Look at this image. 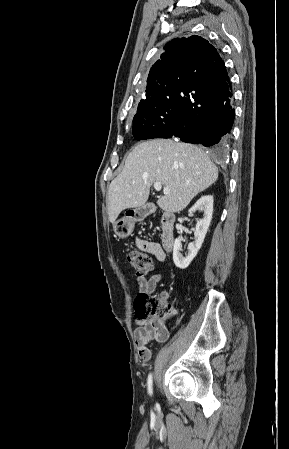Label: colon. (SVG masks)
I'll use <instances>...</instances> for the list:
<instances>
[{
    "mask_svg": "<svg viewBox=\"0 0 289 449\" xmlns=\"http://www.w3.org/2000/svg\"><path fill=\"white\" fill-rule=\"evenodd\" d=\"M126 256L128 262L136 270L138 275H147L152 271L153 261L145 252L129 250ZM135 308L137 314L145 317L156 329L160 331L165 329L164 322L171 314L165 297L139 294L135 301Z\"/></svg>",
    "mask_w": 289,
    "mask_h": 449,
    "instance_id": "5ec220e1",
    "label": "colon"
}]
</instances>
